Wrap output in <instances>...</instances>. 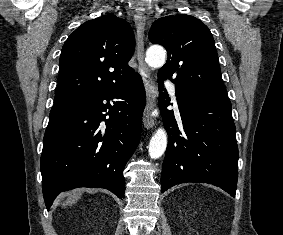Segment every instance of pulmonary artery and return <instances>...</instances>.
I'll return each instance as SVG.
<instances>
[{"label": "pulmonary artery", "instance_id": "obj_1", "mask_svg": "<svg viewBox=\"0 0 283 235\" xmlns=\"http://www.w3.org/2000/svg\"><path fill=\"white\" fill-rule=\"evenodd\" d=\"M168 88H169L170 92H171L172 94H174V92H175V86H174V84L169 83V84H168ZM173 100H174V102H176L175 96H173Z\"/></svg>", "mask_w": 283, "mask_h": 235}]
</instances>
